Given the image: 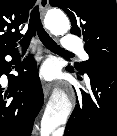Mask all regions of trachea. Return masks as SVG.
Returning <instances> with one entry per match:
<instances>
[{
    "instance_id": "trachea-1",
    "label": "trachea",
    "mask_w": 117,
    "mask_h": 136,
    "mask_svg": "<svg viewBox=\"0 0 117 136\" xmlns=\"http://www.w3.org/2000/svg\"><path fill=\"white\" fill-rule=\"evenodd\" d=\"M37 31L38 37L41 42L51 51L60 52L73 55L71 52H68L61 48L45 31L40 19L39 7L35 6L30 15V22L28 25V30L24 37L21 39L20 44L22 46V50H26L29 46V42L31 38L35 35Z\"/></svg>"
}]
</instances>
